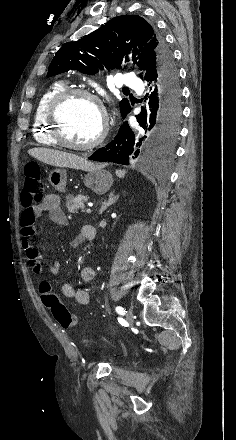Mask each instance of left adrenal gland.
Returning a JSON list of instances; mask_svg holds the SVG:
<instances>
[{"mask_svg":"<svg viewBox=\"0 0 236 440\" xmlns=\"http://www.w3.org/2000/svg\"><path fill=\"white\" fill-rule=\"evenodd\" d=\"M118 196L114 195V191L109 194V198L107 201L102 202L101 209L99 210V214H102L110 205L115 203Z\"/></svg>","mask_w":236,"mask_h":440,"instance_id":"obj_1","label":"left adrenal gland"}]
</instances>
